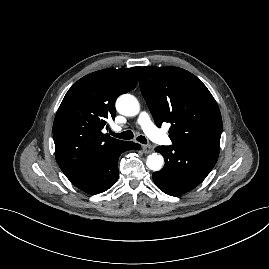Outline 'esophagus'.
I'll return each instance as SVG.
<instances>
[{
  "label": "esophagus",
  "instance_id": "1",
  "mask_svg": "<svg viewBox=\"0 0 269 269\" xmlns=\"http://www.w3.org/2000/svg\"><path fill=\"white\" fill-rule=\"evenodd\" d=\"M143 152L146 154L152 153L153 152V147L148 144V145H142Z\"/></svg>",
  "mask_w": 269,
  "mask_h": 269
}]
</instances>
